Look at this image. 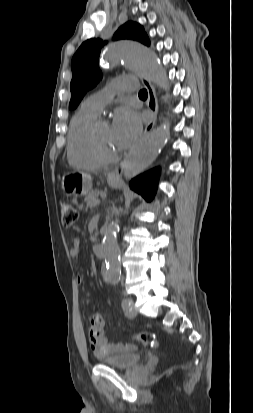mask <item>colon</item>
Masks as SVG:
<instances>
[{
	"label": "colon",
	"instance_id": "colon-1",
	"mask_svg": "<svg viewBox=\"0 0 253 413\" xmlns=\"http://www.w3.org/2000/svg\"><path fill=\"white\" fill-rule=\"evenodd\" d=\"M60 214L62 223L65 226H72L78 217L76 208L68 201L62 200L60 203ZM132 340L140 342L142 344L155 346L157 340L154 334L149 332H139L131 336Z\"/></svg>",
	"mask_w": 253,
	"mask_h": 413
}]
</instances>
